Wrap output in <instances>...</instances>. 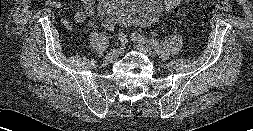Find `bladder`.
<instances>
[{"label":"bladder","mask_w":253,"mask_h":131,"mask_svg":"<svg viewBox=\"0 0 253 131\" xmlns=\"http://www.w3.org/2000/svg\"><path fill=\"white\" fill-rule=\"evenodd\" d=\"M100 15L110 24H148L155 21L161 6L158 0H101Z\"/></svg>","instance_id":"1"}]
</instances>
